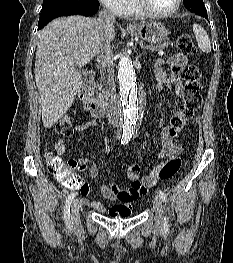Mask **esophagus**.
Instances as JSON below:
<instances>
[{
	"mask_svg": "<svg viewBox=\"0 0 233 263\" xmlns=\"http://www.w3.org/2000/svg\"><path fill=\"white\" fill-rule=\"evenodd\" d=\"M127 27L132 28V27H134V25L129 23V24H127Z\"/></svg>",
	"mask_w": 233,
	"mask_h": 263,
	"instance_id": "1",
	"label": "esophagus"
}]
</instances>
